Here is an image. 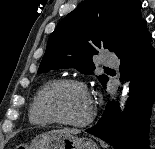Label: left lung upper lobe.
<instances>
[{
    "mask_svg": "<svg viewBox=\"0 0 155 149\" xmlns=\"http://www.w3.org/2000/svg\"><path fill=\"white\" fill-rule=\"evenodd\" d=\"M139 0H85L59 22L50 35L38 74L53 69L75 68L92 74V57L99 50L117 51L140 29ZM104 85L106 75L98 76Z\"/></svg>",
    "mask_w": 155,
    "mask_h": 149,
    "instance_id": "obj_1",
    "label": "left lung upper lobe"
}]
</instances>
